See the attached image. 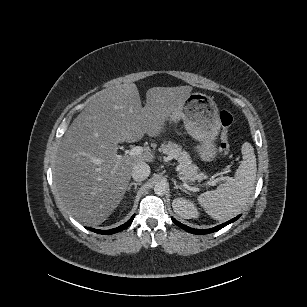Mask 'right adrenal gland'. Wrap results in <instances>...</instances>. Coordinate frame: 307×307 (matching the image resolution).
<instances>
[{"label": "right adrenal gland", "instance_id": "obj_1", "mask_svg": "<svg viewBox=\"0 0 307 307\" xmlns=\"http://www.w3.org/2000/svg\"><path fill=\"white\" fill-rule=\"evenodd\" d=\"M141 185V182H132L129 184L128 188H127V191H130L131 190V187L134 186V189L136 190L137 189V186Z\"/></svg>", "mask_w": 307, "mask_h": 307}]
</instances>
